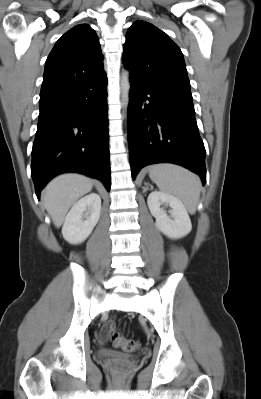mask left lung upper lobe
Here are the masks:
<instances>
[{"label":"left lung upper lobe","instance_id":"5c2ea615","mask_svg":"<svg viewBox=\"0 0 261 399\" xmlns=\"http://www.w3.org/2000/svg\"><path fill=\"white\" fill-rule=\"evenodd\" d=\"M122 60L131 75L149 84L190 91L180 48L148 22L136 21L128 29Z\"/></svg>","mask_w":261,"mask_h":399}]
</instances>
